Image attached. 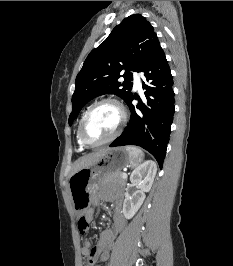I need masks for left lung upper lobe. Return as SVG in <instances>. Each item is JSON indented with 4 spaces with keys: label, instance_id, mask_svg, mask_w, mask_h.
<instances>
[{
    "label": "left lung upper lobe",
    "instance_id": "left-lung-upper-lobe-1",
    "mask_svg": "<svg viewBox=\"0 0 233 266\" xmlns=\"http://www.w3.org/2000/svg\"><path fill=\"white\" fill-rule=\"evenodd\" d=\"M158 44L153 27L140 14L130 15L117 25L107 39L90 52L76 77L69 124L72 125L83 106L97 96L115 94L127 102L132 96L131 71L140 72ZM121 72L123 83L118 81Z\"/></svg>",
    "mask_w": 233,
    "mask_h": 266
}]
</instances>
